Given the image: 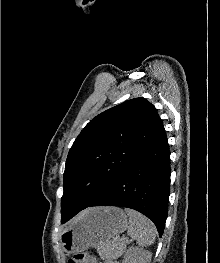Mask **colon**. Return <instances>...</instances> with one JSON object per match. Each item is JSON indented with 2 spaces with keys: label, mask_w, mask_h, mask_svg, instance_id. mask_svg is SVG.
Instances as JSON below:
<instances>
[{
  "label": "colon",
  "mask_w": 220,
  "mask_h": 263,
  "mask_svg": "<svg viewBox=\"0 0 220 263\" xmlns=\"http://www.w3.org/2000/svg\"><path fill=\"white\" fill-rule=\"evenodd\" d=\"M87 259V254L84 252L76 253L71 259H69L68 263H84Z\"/></svg>",
  "instance_id": "colon-1"
}]
</instances>
